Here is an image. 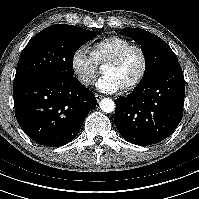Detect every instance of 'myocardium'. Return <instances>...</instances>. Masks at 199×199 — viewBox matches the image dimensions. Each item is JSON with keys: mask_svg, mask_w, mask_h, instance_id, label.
<instances>
[{"mask_svg": "<svg viewBox=\"0 0 199 199\" xmlns=\"http://www.w3.org/2000/svg\"><path fill=\"white\" fill-rule=\"evenodd\" d=\"M133 50H137L140 52L142 57V67L137 77L133 81L122 87L124 91H131L135 89L144 80L148 70V55L145 49L141 45L131 44L126 48L122 49L113 59H111L103 67V69L117 67L124 60V58Z\"/></svg>", "mask_w": 199, "mask_h": 199, "instance_id": "1", "label": "myocardium"}]
</instances>
